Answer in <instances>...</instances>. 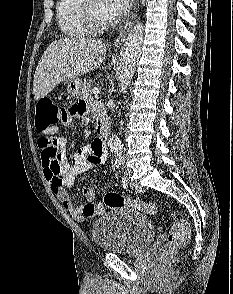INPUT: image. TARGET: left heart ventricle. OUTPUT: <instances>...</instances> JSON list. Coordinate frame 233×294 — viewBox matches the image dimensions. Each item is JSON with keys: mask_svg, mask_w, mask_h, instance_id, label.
Wrapping results in <instances>:
<instances>
[{"mask_svg": "<svg viewBox=\"0 0 233 294\" xmlns=\"http://www.w3.org/2000/svg\"><path fill=\"white\" fill-rule=\"evenodd\" d=\"M90 5L100 19L110 20L104 11V0H91Z\"/></svg>", "mask_w": 233, "mask_h": 294, "instance_id": "obj_1", "label": "left heart ventricle"}]
</instances>
